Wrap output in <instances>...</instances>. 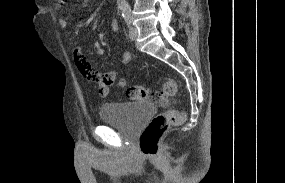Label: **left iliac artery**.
<instances>
[{"label": "left iliac artery", "instance_id": "44dca946", "mask_svg": "<svg viewBox=\"0 0 285 183\" xmlns=\"http://www.w3.org/2000/svg\"><path fill=\"white\" fill-rule=\"evenodd\" d=\"M122 10V16L124 18V20L126 21V23L128 25H130L131 21H130V12H131V9L129 6H124L121 8Z\"/></svg>", "mask_w": 285, "mask_h": 183}]
</instances>
